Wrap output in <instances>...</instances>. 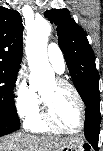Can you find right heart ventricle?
I'll use <instances>...</instances> for the list:
<instances>
[{"label":"right heart ventricle","mask_w":103,"mask_h":151,"mask_svg":"<svg viewBox=\"0 0 103 151\" xmlns=\"http://www.w3.org/2000/svg\"><path fill=\"white\" fill-rule=\"evenodd\" d=\"M26 128L37 133H47L50 129L44 124L41 117V109L38 107L36 111L26 119Z\"/></svg>","instance_id":"obj_1"}]
</instances>
